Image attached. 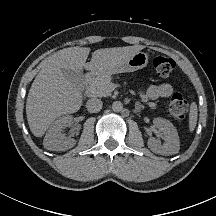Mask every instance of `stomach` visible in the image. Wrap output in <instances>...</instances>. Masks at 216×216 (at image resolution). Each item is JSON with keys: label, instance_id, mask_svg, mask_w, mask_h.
<instances>
[{"label": "stomach", "instance_id": "obj_1", "mask_svg": "<svg viewBox=\"0 0 216 216\" xmlns=\"http://www.w3.org/2000/svg\"><path fill=\"white\" fill-rule=\"evenodd\" d=\"M148 64V55L144 52H136L133 54L129 59L123 61L116 67L96 71L93 73L95 76H103V75H111L116 73H123V72H134L139 69L146 67Z\"/></svg>", "mask_w": 216, "mask_h": 216}]
</instances>
